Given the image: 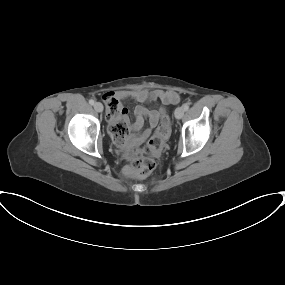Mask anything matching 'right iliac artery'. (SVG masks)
<instances>
[{"label": "right iliac artery", "instance_id": "right-iliac-artery-1", "mask_svg": "<svg viewBox=\"0 0 285 285\" xmlns=\"http://www.w3.org/2000/svg\"><path fill=\"white\" fill-rule=\"evenodd\" d=\"M89 103L91 104V105H94V100H89Z\"/></svg>", "mask_w": 285, "mask_h": 285}]
</instances>
